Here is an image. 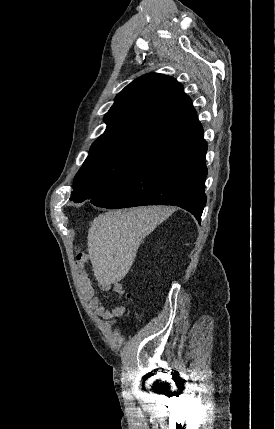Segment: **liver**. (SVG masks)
<instances>
[{"mask_svg":"<svg viewBox=\"0 0 275 429\" xmlns=\"http://www.w3.org/2000/svg\"><path fill=\"white\" fill-rule=\"evenodd\" d=\"M170 212L168 207L148 206L108 211L93 220L87 237L88 253L102 288L109 289L127 275L141 241Z\"/></svg>","mask_w":275,"mask_h":429,"instance_id":"obj_1","label":"liver"}]
</instances>
